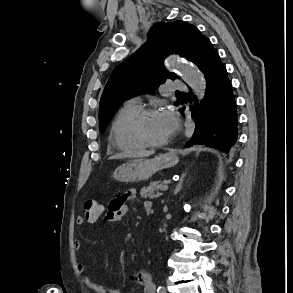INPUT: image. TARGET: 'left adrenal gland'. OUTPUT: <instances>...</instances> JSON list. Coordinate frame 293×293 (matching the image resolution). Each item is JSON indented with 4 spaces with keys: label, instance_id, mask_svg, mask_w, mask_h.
Instances as JSON below:
<instances>
[{
    "label": "left adrenal gland",
    "instance_id": "a2214340",
    "mask_svg": "<svg viewBox=\"0 0 293 293\" xmlns=\"http://www.w3.org/2000/svg\"><path fill=\"white\" fill-rule=\"evenodd\" d=\"M185 176H186V173H184V174L181 176V178H180V180H179V182H178L176 188H175L174 191H173V195H176V194H178V193L181 191V189H182V187H183V182H184V178H185Z\"/></svg>",
    "mask_w": 293,
    "mask_h": 293
}]
</instances>
